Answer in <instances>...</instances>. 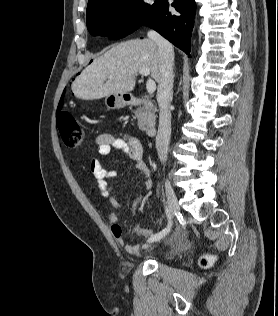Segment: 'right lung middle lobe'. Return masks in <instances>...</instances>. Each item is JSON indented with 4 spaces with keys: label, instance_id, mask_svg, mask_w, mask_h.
I'll return each mask as SVG.
<instances>
[{
    "label": "right lung middle lobe",
    "instance_id": "right-lung-middle-lobe-1",
    "mask_svg": "<svg viewBox=\"0 0 278 316\" xmlns=\"http://www.w3.org/2000/svg\"><path fill=\"white\" fill-rule=\"evenodd\" d=\"M157 1L149 5L143 0H109L87 12V28L92 35L109 36L112 39L125 37L151 16Z\"/></svg>",
    "mask_w": 278,
    "mask_h": 316
}]
</instances>
